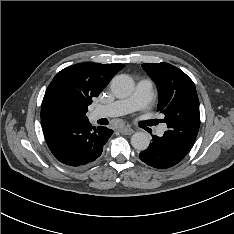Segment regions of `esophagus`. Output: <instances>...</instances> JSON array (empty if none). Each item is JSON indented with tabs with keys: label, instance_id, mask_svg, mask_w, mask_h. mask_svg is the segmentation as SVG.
<instances>
[{
	"label": "esophagus",
	"instance_id": "esophagus-1",
	"mask_svg": "<svg viewBox=\"0 0 234 234\" xmlns=\"http://www.w3.org/2000/svg\"><path fill=\"white\" fill-rule=\"evenodd\" d=\"M120 132L125 135H131L134 132V130L128 126H125L120 129Z\"/></svg>",
	"mask_w": 234,
	"mask_h": 234
}]
</instances>
